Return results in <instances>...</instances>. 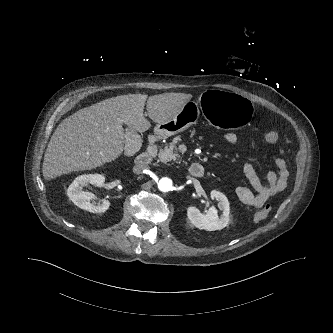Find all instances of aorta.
<instances>
[{"mask_svg":"<svg viewBox=\"0 0 333 333\" xmlns=\"http://www.w3.org/2000/svg\"><path fill=\"white\" fill-rule=\"evenodd\" d=\"M158 189L162 192H168L173 188V182L170 178L163 177L161 178L158 183Z\"/></svg>","mask_w":333,"mask_h":333,"instance_id":"1","label":"aorta"}]
</instances>
